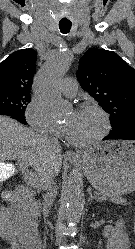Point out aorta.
Returning <instances> with one entry per match:
<instances>
[{
	"label": "aorta",
	"mask_w": 135,
	"mask_h": 249,
	"mask_svg": "<svg viewBox=\"0 0 135 249\" xmlns=\"http://www.w3.org/2000/svg\"><path fill=\"white\" fill-rule=\"evenodd\" d=\"M72 58V54L67 50L59 52L36 77L35 96L50 115L60 116L63 113L64 105L59 83L68 71ZM82 186L83 181L80 175H73L66 183L64 198L66 219L69 225H74L80 220L84 205Z\"/></svg>",
	"instance_id": "aorta-1"
}]
</instances>
